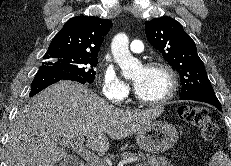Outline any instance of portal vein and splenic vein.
<instances>
[{
	"label": "portal vein and splenic vein",
	"mask_w": 231,
	"mask_h": 166,
	"mask_svg": "<svg viewBox=\"0 0 231 166\" xmlns=\"http://www.w3.org/2000/svg\"><path fill=\"white\" fill-rule=\"evenodd\" d=\"M85 139L83 137H76V138H68V139H61L59 142L65 146L71 147L73 150H75L78 155L83 157L87 162L98 165L102 163L104 160L95 155L93 152H91L89 149H87L84 146ZM137 158H128L121 161L122 164H128V163H135L137 162Z\"/></svg>",
	"instance_id": "1"
}]
</instances>
